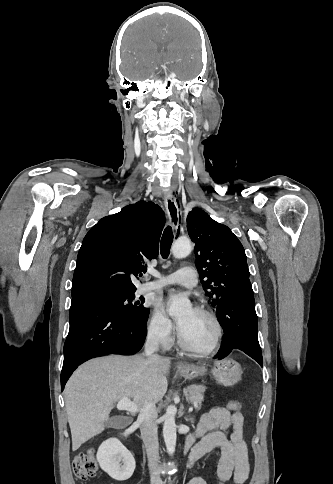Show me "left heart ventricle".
Segmentation results:
<instances>
[{
	"instance_id": "obj_1",
	"label": "left heart ventricle",
	"mask_w": 333,
	"mask_h": 484,
	"mask_svg": "<svg viewBox=\"0 0 333 484\" xmlns=\"http://www.w3.org/2000/svg\"><path fill=\"white\" fill-rule=\"evenodd\" d=\"M180 332L185 341L196 349H207L216 335L212 320L193 309H185L177 317Z\"/></svg>"
}]
</instances>
